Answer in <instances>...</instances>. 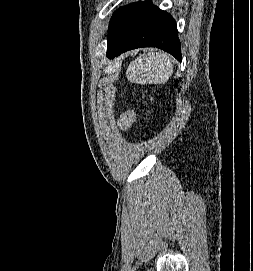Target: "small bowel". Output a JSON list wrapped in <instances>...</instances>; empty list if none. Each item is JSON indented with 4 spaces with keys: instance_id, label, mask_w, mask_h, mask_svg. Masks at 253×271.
Listing matches in <instances>:
<instances>
[{
    "instance_id": "obj_1",
    "label": "small bowel",
    "mask_w": 253,
    "mask_h": 271,
    "mask_svg": "<svg viewBox=\"0 0 253 271\" xmlns=\"http://www.w3.org/2000/svg\"><path fill=\"white\" fill-rule=\"evenodd\" d=\"M136 119L137 115L135 112L133 111L125 112L119 120V126L121 130H128L129 128H131Z\"/></svg>"
}]
</instances>
